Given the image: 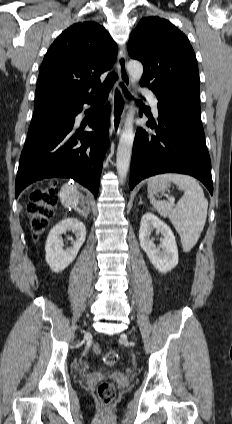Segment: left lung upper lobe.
<instances>
[{"label": "left lung upper lobe", "mask_w": 232, "mask_h": 424, "mask_svg": "<svg viewBox=\"0 0 232 424\" xmlns=\"http://www.w3.org/2000/svg\"><path fill=\"white\" fill-rule=\"evenodd\" d=\"M128 53L142 62L141 86L157 96L199 98V73L188 38L166 19L143 18L131 33Z\"/></svg>", "instance_id": "1"}]
</instances>
